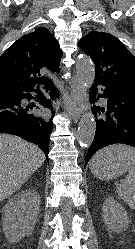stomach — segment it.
Masks as SVG:
<instances>
[{
    "instance_id": "obj_1",
    "label": "stomach",
    "mask_w": 135,
    "mask_h": 249,
    "mask_svg": "<svg viewBox=\"0 0 135 249\" xmlns=\"http://www.w3.org/2000/svg\"><path fill=\"white\" fill-rule=\"evenodd\" d=\"M90 168L96 177L109 180L126 173L129 169V164L124 159L105 157L94 161Z\"/></svg>"
}]
</instances>
